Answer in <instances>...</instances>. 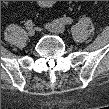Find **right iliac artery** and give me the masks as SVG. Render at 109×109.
Returning a JSON list of instances; mask_svg holds the SVG:
<instances>
[{"mask_svg":"<svg viewBox=\"0 0 109 109\" xmlns=\"http://www.w3.org/2000/svg\"><path fill=\"white\" fill-rule=\"evenodd\" d=\"M26 29H31L33 27V22L32 20H27L25 23Z\"/></svg>","mask_w":109,"mask_h":109,"instance_id":"82829eb1","label":"right iliac artery"}]
</instances>
